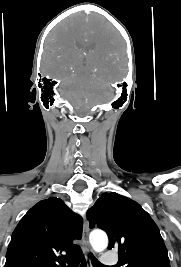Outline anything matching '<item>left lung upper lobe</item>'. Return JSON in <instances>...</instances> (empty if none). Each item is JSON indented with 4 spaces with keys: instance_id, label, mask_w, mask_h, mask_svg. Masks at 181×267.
<instances>
[{
    "instance_id": "obj_1",
    "label": "left lung upper lobe",
    "mask_w": 181,
    "mask_h": 267,
    "mask_svg": "<svg viewBox=\"0 0 181 267\" xmlns=\"http://www.w3.org/2000/svg\"><path fill=\"white\" fill-rule=\"evenodd\" d=\"M109 237L108 249H116L123 267H170L167 249L150 215L135 201L115 192L103 193L87 211ZM116 267H119L117 265Z\"/></svg>"
}]
</instances>
